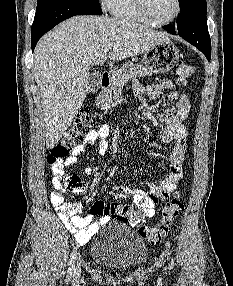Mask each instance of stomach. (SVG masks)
Wrapping results in <instances>:
<instances>
[{
  "label": "stomach",
  "mask_w": 233,
  "mask_h": 286,
  "mask_svg": "<svg viewBox=\"0 0 233 286\" xmlns=\"http://www.w3.org/2000/svg\"><path fill=\"white\" fill-rule=\"evenodd\" d=\"M178 60L179 51L170 39L157 43L143 55L145 67L152 73H166Z\"/></svg>",
  "instance_id": "obj_1"
}]
</instances>
